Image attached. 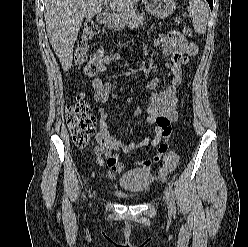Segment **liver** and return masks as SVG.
Here are the masks:
<instances>
[{"label":"liver","mask_w":248,"mask_h":247,"mask_svg":"<svg viewBox=\"0 0 248 247\" xmlns=\"http://www.w3.org/2000/svg\"><path fill=\"white\" fill-rule=\"evenodd\" d=\"M140 0H108L110 8L128 13ZM105 0H45L44 17L50 44L59 58L62 69L72 66L73 48L83 19L102 11Z\"/></svg>","instance_id":"1"}]
</instances>
